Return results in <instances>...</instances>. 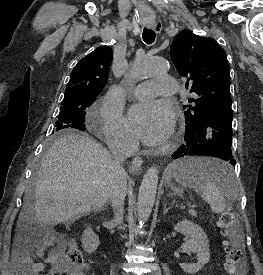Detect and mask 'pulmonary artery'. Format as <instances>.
<instances>
[{"instance_id":"1","label":"pulmonary artery","mask_w":263,"mask_h":275,"mask_svg":"<svg viewBox=\"0 0 263 275\" xmlns=\"http://www.w3.org/2000/svg\"><path fill=\"white\" fill-rule=\"evenodd\" d=\"M178 90L177 81L170 76H159L154 80L139 83L133 90L136 98L146 100L158 95H174Z\"/></svg>"}]
</instances>
